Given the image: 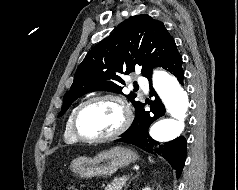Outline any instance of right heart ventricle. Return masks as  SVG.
Wrapping results in <instances>:
<instances>
[{
  "mask_svg": "<svg viewBox=\"0 0 238 190\" xmlns=\"http://www.w3.org/2000/svg\"><path fill=\"white\" fill-rule=\"evenodd\" d=\"M76 108L77 107H75L72 110V112H71V114H70V116L67 120L65 131H64V139H65L66 142H69V143H74V142L77 141V138L74 135L73 130H72V116H73L74 111H75Z\"/></svg>",
  "mask_w": 238,
  "mask_h": 190,
  "instance_id": "right-heart-ventricle-1",
  "label": "right heart ventricle"
}]
</instances>
